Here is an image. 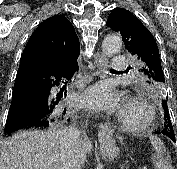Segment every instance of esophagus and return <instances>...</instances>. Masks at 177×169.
<instances>
[{
	"label": "esophagus",
	"mask_w": 177,
	"mask_h": 169,
	"mask_svg": "<svg viewBox=\"0 0 177 169\" xmlns=\"http://www.w3.org/2000/svg\"><path fill=\"white\" fill-rule=\"evenodd\" d=\"M94 65H95V69H96L95 74H99L101 76H104V72H105L106 65H107V59L102 53H97L95 55ZM112 135H113V131H112L111 127L107 123H102L99 127V130H98L99 139L105 140V139L112 137Z\"/></svg>",
	"instance_id": "esophagus-1"
}]
</instances>
